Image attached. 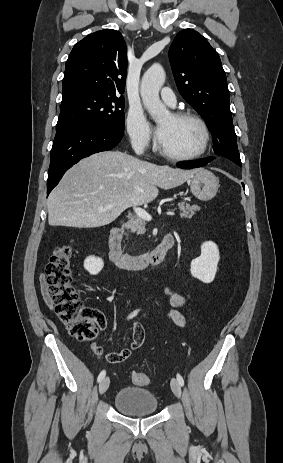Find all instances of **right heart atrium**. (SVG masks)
I'll use <instances>...</instances> for the list:
<instances>
[{
	"label": "right heart atrium",
	"mask_w": 283,
	"mask_h": 463,
	"mask_svg": "<svg viewBox=\"0 0 283 463\" xmlns=\"http://www.w3.org/2000/svg\"><path fill=\"white\" fill-rule=\"evenodd\" d=\"M126 131L130 143L137 149H147L151 144L148 122L140 109L131 108L126 119Z\"/></svg>",
	"instance_id": "d8ad5b80"
}]
</instances>
